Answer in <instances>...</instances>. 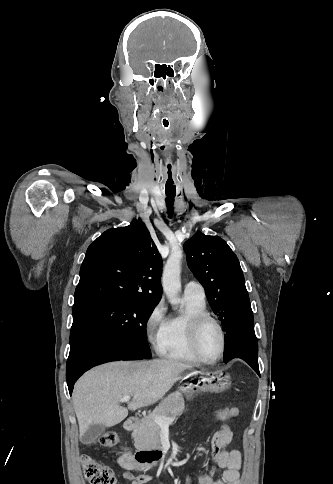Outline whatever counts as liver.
I'll use <instances>...</instances> for the list:
<instances>
[{"mask_svg": "<svg viewBox=\"0 0 333 484\" xmlns=\"http://www.w3.org/2000/svg\"><path fill=\"white\" fill-rule=\"evenodd\" d=\"M193 367L167 359L118 361L95 367L75 384L72 402L79 436L93 424L112 427L136 410L154 404L172 388L179 376ZM132 396L128 407L120 399Z\"/></svg>", "mask_w": 333, "mask_h": 484, "instance_id": "1", "label": "liver"}]
</instances>
